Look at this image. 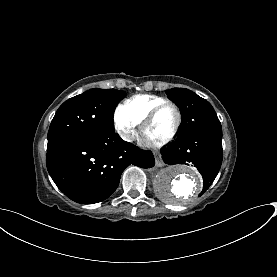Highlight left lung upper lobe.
<instances>
[{
	"label": "left lung upper lobe",
	"instance_id": "obj_1",
	"mask_svg": "<svg viewBox=\"0 0 277 277\" xmlns=\"http://www.w3.org/2000/svg\"><path fill=\"white\" fill-rule=\"evenodd\" d=\"M182 114V127L179 136L199 130L221 128V123L213 107L205 99L185 88H172L166 91Z\"/></svg>",
	"mask_w": 277,
	"mask_h": 277
}]
</instances>
